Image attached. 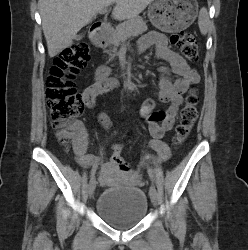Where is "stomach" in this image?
<instances>
[{
	"label": "stomach",
	"mask_w": 248,
	"mask_h": 250,
	"mask_svg": "<svg viewBox=\"0 0 248 250\" xmlns=\"http://www.w3.org/2000/svg\"><path fill=\"white\" fill-rule=\"evenodd\" d=\"M197 14L196 0H153L148 8L150 22L166 33L186 29L194 22Z\"/></svg>",
	"instance_id": "stomach-1"
}]
</instances>
